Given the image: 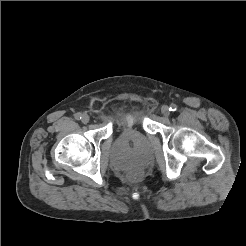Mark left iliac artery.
Here are the masks:
<instances>
[{
	"label": "left iliac artery",
	"mask_w": 246,
	"mask_h": 246,
	"mask_svg": "<svg viewBox=\"0 0 246 246\" xmlns=\"http://www.w3.org/2000/svg\"><path fill=\"white\" fill-rule=\"evenodd\" d=\"M169 109H170V111H173L174 112V111L177 110V105L171 104Z\"/></svg>",
	"instance_id": "obj_1"
}]
</instances>
